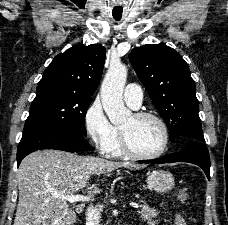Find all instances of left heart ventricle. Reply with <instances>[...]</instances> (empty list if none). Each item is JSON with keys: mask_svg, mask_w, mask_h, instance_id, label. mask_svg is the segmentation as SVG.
<instances>
[{"mask_svg": "<svg viewBox=\"0 0 228 225\" xmlns=\"http://www.w3.org/2000/svg\"><path fill=\"white\" fill-rule=\"evenodd\" d=\"M121 128L132 147L141 154H155L163 146V128L152 118L137 119L133 115Z\"/></svg>", "mask_w": 228, "mask_h": 225, "instance_id": "1", "label": "left heart ventricle"}]
</instances>
